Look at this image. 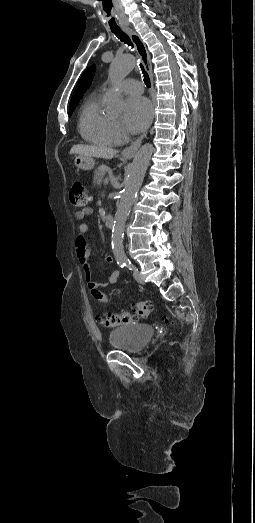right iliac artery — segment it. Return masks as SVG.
<instances>
[{
  "label": "right iliac artery",
  "instance_id": "82829eb1",
  "mask_svg": "<svg viewBox=\"0 0 255 523\" xmlns=\"http://www.w3.org/2000/svg\"><path fill=\"white\" fill-rule=\"evenodd\" d=\"M119 265H120V267L123 268V267L125 266V262H124V261H123V262H120Z\"/></svg>",
  "mask_w": 255,
  "mask_h": 523
}]
</instances>
